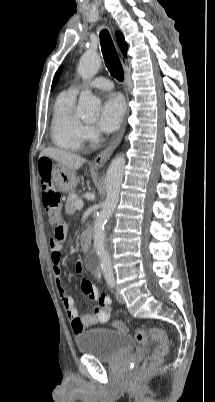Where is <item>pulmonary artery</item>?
I'll use <instances>...</instances> for the list:
<instances>
[{
	"label": "pulmonary artery",
	"mask_w": 215,
	"mask_h": 402,
	"mask_svg": "<svg viewBox=\"0 0 215 402\" xmlns=\"http://www.w3.org/2000/svg\"><path fill=\"white\" fill-rule=\"evenodd\" d=\"M89 86L103 90H109L113 87L112 82L105 77H96L88 83L78 84L70 88L74 93H78L83 87Z\"/></svg>",
	"instance_id": "obj_1"
}]
</instances>
